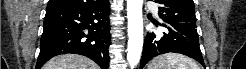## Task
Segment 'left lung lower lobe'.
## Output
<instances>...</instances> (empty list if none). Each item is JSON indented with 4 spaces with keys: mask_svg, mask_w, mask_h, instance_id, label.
<instances>
[{
    "mask_svg": "<svg viewBox=\"0 0 246 69\" xmlns=\"http://www.w3.org/2000/svg\"><path fill=\"white\" fill-rule=\"evenodd\" d=\"M162 21L163 23L160 25L166 28L162 35L155 33H147L146 35L140 69L152 58L170 52L189 56L204 66L196 28L166 20Z\"/></svg>",
    "mask_w": 246,
    "mask_h": 69,
    "instance_id": "obj_1",
    "label": "left lung lower lobe"
}]
</instances>
